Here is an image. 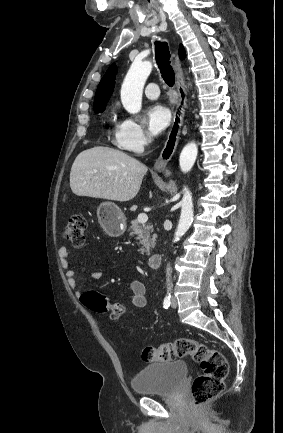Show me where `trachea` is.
Here are the masks:
<instances>
[{
    "mask_svg": "<svg viewBox=\"0 0 283 433\" xmlns=\"http://www.w3.org/2000/svg\"><path fill=\"white\" fill-rule=\"evenodd\" d=\"M170 51L167 42L155 41V59L165 83L172 87L175 82L174 70L170 65Z\"/></svg>",
    "mask_w": 283,
    "mask_h": 433,
    "instance_id": "3493384b",
    "label": "trachea"
}]
</instances>
